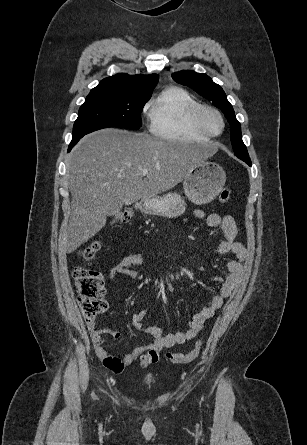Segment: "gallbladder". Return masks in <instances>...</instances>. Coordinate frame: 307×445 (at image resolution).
<instances>
[{"mask_svg":"<svg viewBox=\"0 0 307 445\" xmlns=\"http://www.w3.org/2000/svg\"><path fill=\"white\" fill-rule=\"evenodd\" d=\"M122 198L120 196L114 195L111 198V201L107 203V217L108 218H115L116 212H119L122 210Z\"/></svg>","mask_w":307,"mask_h":445,"instance_id":"gallbladder-1","label":"gallbladder"}]
</instances>
